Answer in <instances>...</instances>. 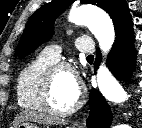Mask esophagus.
Returning <instances> with one entry per match:
<instances>
[{
  "instance_id": "34e87169",
  "label": "esophagus",
  "mask_w": 142,
  "mask_h": 128,
  "mask_svg": "<svg viewBox=\"0 0 142 128\" xmlns=\"http://www.w3.org/2000/svg\"><path fill=\"white\" fill-rule=\"evenodd\" d=\"M78 128H82V126H78Z\"/></svg>"
}]
</instances>
